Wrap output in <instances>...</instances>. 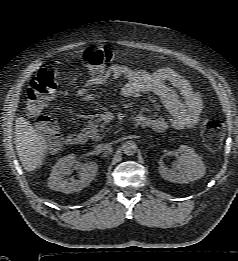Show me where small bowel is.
<instances>
[{"label":"small bowel","instance_id":"small-bowel-1","mask_svg":"<svg viewBox=\"0 0 238 261\" xmlns=\"http://www.w3.org/2000/svg\"><path fill=\"white\" fill-rule=\"evenodd\" d=\"M124 78L121 88L123 96L137 98L143 94L157 96L169 113V117L139 116L144 119V126L157 132L168 128L177 130L191 128L199 120L203 109L201 96L194 91L190 82L170 67H163L154 72L134 69L126 65L114 64L103 76H92L77 91V96L84 101H93L98 97L92 89L109 80Z\"/></svg>","mask_w":238,"mask_h":261}]
</instances>
